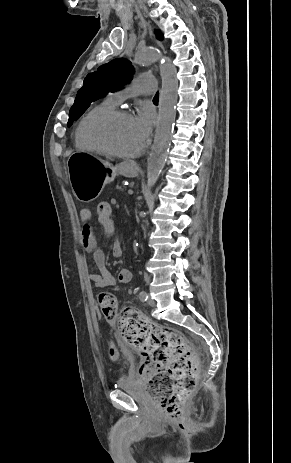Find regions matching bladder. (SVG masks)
Here are the masks:
<instances>
[{
    "label": "bladder",
    "mask_w": 291,
    "mask_h": 463,
    "mask_svg": "<svg viewBox=\"0 0 291 463\" xmlns=\"http://www.w3.org/2000/svg\"><path fill=\"white\" fill-rule=\"evenodd\" d=\"M134 358L133 356H126V364H127V369L124 370L116 380V386L118 388H128V387H133L137 384L136 378L131 374V371L129 370V367L131 366Z\"/></svg>",
    "instance_id": "bladder-1"
}]
</instances>
